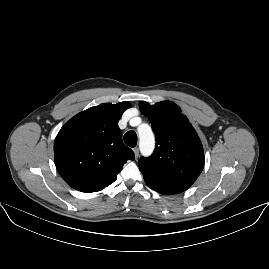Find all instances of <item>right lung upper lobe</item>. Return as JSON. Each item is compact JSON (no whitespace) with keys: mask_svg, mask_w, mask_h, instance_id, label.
Here are the masks:
<instances>
[{"mask_svg":"<svg viewBox=\"0 0 269 269\" xmlns=\"http://www.w3.org/2000/svg\"><path fill=\"white\" fill-rule=\"evenodd\" d=\"M129 102L104 103L70 119L54 142V156L61 177L81 192H96L117 179L134 152L122 142L118 121Z\"/></svg>","mask_w":269,"mask_h":269,"instance_id":"1","label":"right lung upper lobe"}]
</instances>
